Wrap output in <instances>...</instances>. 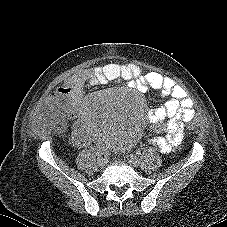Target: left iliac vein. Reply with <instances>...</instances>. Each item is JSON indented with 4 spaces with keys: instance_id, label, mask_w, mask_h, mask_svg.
Returning <instances> with one entry per match:
<instances>
[{
    "instance_id": "obj_1",
    "label": "left iliac vein",
    "mask_w": 227,
    "mask_h": 227,
    "mask_svg": "<svg viewBox=\"0 0 227 227\" xmlns=\"http://www.w3.org/2000/svg\"><path fill=\"white\" fill-rule=\"evenodd\" d=\"M128 162L135 166V167H138L141 163V160L137 157V156H134V155H131L128 159Z\"/></svg>"
}]
</instances>
